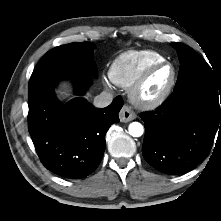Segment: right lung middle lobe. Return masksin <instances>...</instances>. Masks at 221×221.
<instances>
[{"label":"right lung middle lobe","mask_w":221,"mask_h":221,"mask_svg":"<svg viewBox=\"0 0 221 221\" xmlns=\"http://www.w3.org/2000/svg\"><path fill=\"white\" fill-rule=\"evenodd\" d=\"M94 48L95 44L91 42L70 43L47 52L31 75L29 93L41 84L63 75L73 73L95 75Z\"/></svg>","instance_id":"1"}]
</instances>
